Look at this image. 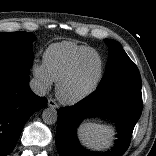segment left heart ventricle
<instances>
[{
  "mask_svg": "<svg viewBox=\"0 0 156 156\" xmlns=\"http://www.w3.org/2000/svg\"><path fill=\"white\" fill-rule=\"evenodd\" d=\"M100 72V61L97 55L90 54L80 64L77 74L66 88L68 96L78 95L87 90L97 79Z\"/></svg>",
  "mask_w": 156,
  "mask_h": 156,
  "instance_id": "left-heart-ventricle-1",
  "label": "left heart ventricle"
}]
</instances>
